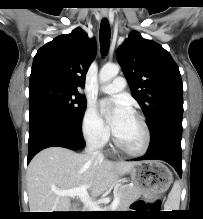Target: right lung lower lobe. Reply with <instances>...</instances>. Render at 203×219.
<instances>
[{
  "mask_svg": "<svg viewBox=\"0 0 203 219\" xmlns=\"http://www.w3.org/2000/svg\"><path fill=\"white\" fill-rule=\"evenodd\" d=\"M53 146L71 150L83 148L81 123L71 125L42 112L30 113L28 163L39 151Z\"/></svg>",
  "mask_w": 203,
  "mask_h": 219,
  "instance_id": "1",
  "label": "right lung lower lobe"
}]
</instances>
